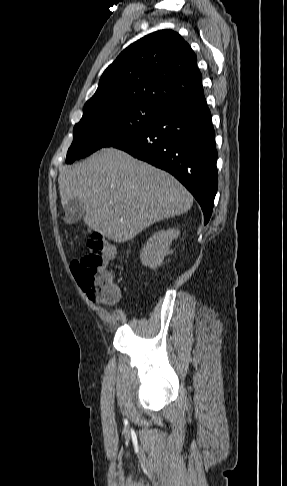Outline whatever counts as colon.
<instances>
[{
	"label": "colon",
	"instance_id": "obj_1",
	"mask_svg": "<svg viewBox=\"0 0 287 486\" xmlns=\"http://www.w3.org/2000/svg\"><path fill=\"white\" fill-rule=\"evenodd\" d=\"M89 251L71 264V271L87 297L99 303L112 305L120 300V290L106 270L114 255V246L101 234L93 233L87 240Z\"/></svg>",
	"mask_w": 287,
	"mask_h": 486
}]
</instances>
